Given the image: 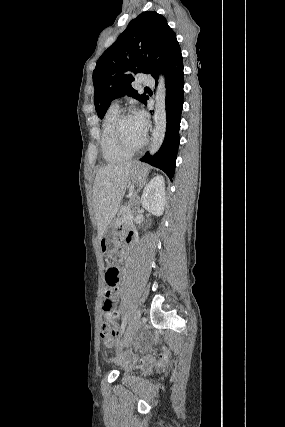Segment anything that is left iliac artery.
Here are the masks:
<instances>
[{
	"instance_id": "obj_1",
	"label": "left iliac artery",
	"mask_w": 285,
	"mask_h": 427,
	"mask_svg": "<svg viewBox=\"0 0 285 427\" xmlns=\"http://www.w3.org/2000/svg\"><path fill=\"white\" fill-rule=\"evenodd\" d=\"M127 324V317H125L122 321V325H121V335L124 333L125 327Z\"/></svg>"
}]
</instances>
